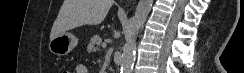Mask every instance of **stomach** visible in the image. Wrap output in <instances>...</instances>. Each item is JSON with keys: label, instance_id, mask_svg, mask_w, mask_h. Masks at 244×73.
Listing matches in <instances>:
<instances>
[{"label": "stomach", "instance_id": "obj_1", "mask_svg": "<svg viewBox=\"0 0 244 73\" xmlns=\"http://www.w3.org/2000/svg\"><path fill=\"white\" fill-rule=\"evenodd\" d=\"M78 44V39L71 33L65 32L53 38L49 42V50L52 54L65 56Z\"/></svg>", "mask_w": 244, "mask_h": 73}]
</instances>
